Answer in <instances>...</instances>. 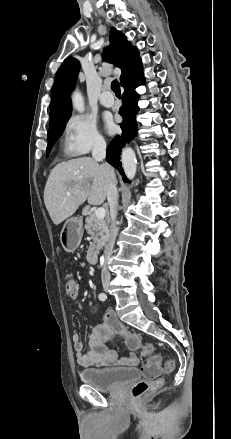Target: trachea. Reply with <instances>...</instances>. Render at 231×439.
I'll return each instance as SVG.
<instances>
[{
	"label": "trachea",
	"mask_w": 231,
	"mask_h": 439,
	"mask_svg": "<svg viewBox=\"0 0 231 439\" xmlns=\"http://www.w3.org/2000/svg\"><path fill=\"white\" fill-rule=\"evenodd\" d=\"M111 89H112V91L115 93V95H116L117 97H120V96H121L120 83H119L117 80H114V81L111 83Z\"/></svg>",
	"instance_id": "3493384b"
}]
</instances>
